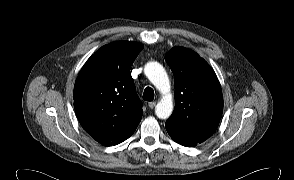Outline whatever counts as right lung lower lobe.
I'll return each instance as SVG.
<instances>
[{
    "label": "right lung lower lobe",
    "instance_id": "obj_1",
    "mask_svg": "<svg viewBox=\"0 0 294 180\" xmlns=\"http://www.w3.org/2000/svg\"><path fill=\"white\" fill-rule=\"evenodd\" d=\"M139 124V123H138ZM137 125H135L132 129H130L129 131H127L124 135H122L119 139H117L115 142L111 143L110 145H116V144H119L123 141H125L126 139H128L132 134L133 132L136 130L137 128ZM110 145H106V146H110Z\"/></svg>",
    "mask_w": 294,
    "mask_h": 180
}]
</instances>
